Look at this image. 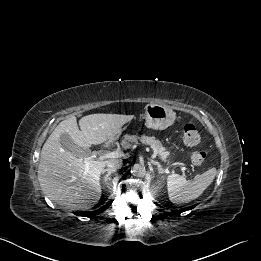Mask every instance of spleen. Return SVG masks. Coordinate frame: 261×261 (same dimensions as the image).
I'll return each mask as SVG.
<instances>
[{
    "label": "spleen",
    "instance_id": "1",
    "mask_svg": "<svg viewBox=\"0 0 261 261\" xmlns=\"http://www.w3.org/2000/svg\"><path fill=\"white\" fill-rule=\"evenodd\" d=\"M217 174L216 168H210L202 174L196 175L192 180H186L178 174L167 177L168 196L172 203H187L198 198L213 182Z\"/></svg>",
    "mask_w": 261,
    "mask_h": 261
}]
</instances>
